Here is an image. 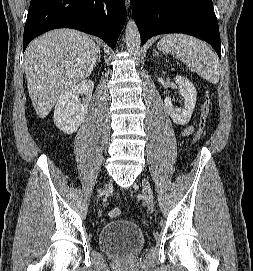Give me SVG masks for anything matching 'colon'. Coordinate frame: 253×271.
<instances>
[{"mask_svg":"<svg viewBox=\"0 0 253 271\" xmlns=\"http://www.w3.org/2000/svg\"><path fill=\"white\" fill-rule=\"evenodd\" d=\"M212 111V103L211 100L207 97L202 106V117L198 127V130L194 137V142L199 141L206 133L211 117ZM121 209L120 208H113L109 211V216L111 218H118L121 216Z\"/></svg>","mask_w":253,"mask_h":271,"instance_id":"5ec220e1","label":"colon"}]
</instances>
